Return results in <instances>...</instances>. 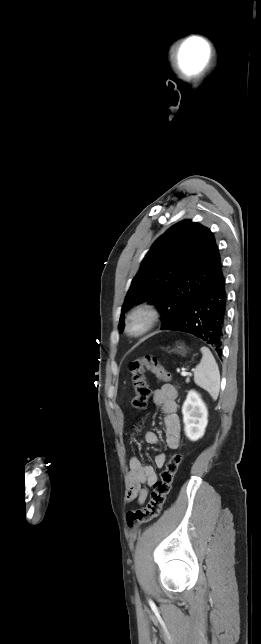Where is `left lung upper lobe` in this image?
<instances>
[{"label": "left lung upper lobe", "mask_w": 261, "mask_h": 644, "mask_svg": "<svg viewBox=\"0 0 261 644\" xmlns=\"http://www.w3.org/2000/svg\"><path fill=\"white\" fill-rule=\"evenodd\" d=\"M221 265L213 233L184 220L159 237L142 261L122 306L150 300L162 313L161 329L177 320Z\"/></svg>", "instance_id": "1"}]
</instances>
